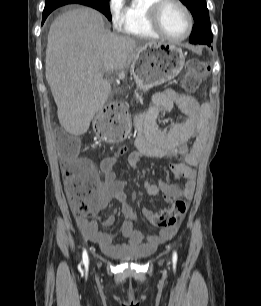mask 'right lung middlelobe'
Returning <instances> with one entry per match:
<instances>
[{
	"label": "right lung middle lobe",
	"instance_id": "dd1d6c3e",
	"mask_svg": "<svg viewBox=\"0 0 261 306\" xmlns=\"http://www.w3.org/2000/svg\"><path fill=\"white\" fill-rule=\"evenodd\" d=\"M78 3L82 5H86L92 8H95L102 12L109 20H111V13L109 9V0H46L45 8L43 12L53 11L54 9L66 5Z\"/></svg>",
	"mask_w": 261,
	"mask_h": 306
}]
</instances>
